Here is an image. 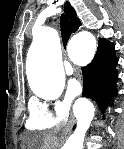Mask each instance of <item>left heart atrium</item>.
Wrapping results in <instances>:
<instances>
[{
  "mask_svg": "<svg viewBox=\"0 0 124 149\" xmlns=\"http://www.w3.org/2000/svg\"><path fill=\"white\" fill-rule=\"evenodd\" d=\"M82 90V85L78 80H72L68 86V96L70 98L77 97Z\"/></svg>",
  "mask_w": 124,
  "mask_h": 149,
  "instance_id": "obj_1",
  "label": "left heart atrium"
}]
</instances>
